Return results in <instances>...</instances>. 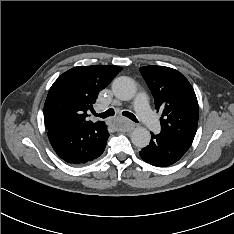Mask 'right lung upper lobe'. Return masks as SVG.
Here are the masks:
<instances>
[{
	"label": "right lung upper lobe",
	"instance_id": "right-lung-upper-lobe-1",
	"mask_svg": "<svg viewBox=\"0 0 234 234\" xmlns=\"http://www.w3.org/2000/svg\"><path fill=\"white\" fill-rule=\"evenodd\" d=\"M121 70L119 66H77L60 75L51 86L44 104L47 130L72 124H93L87 120V111L93 109L99 92Z\"/></svg>",
	"mask_w": 234,
	"mask_h": 234
}]
</instances>
